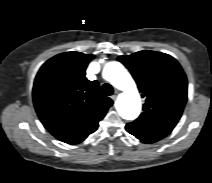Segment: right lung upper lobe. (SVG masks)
<instances>
[{
	"instance_id": "1",
	"label": "right lung upper lobe",
	"mask_w": 212,
	"mask_h": 183,
	"mask_svg": "<svg viewBox=\"0 0 212 183\" xmlns=\"http://www.w3.org/2000/svg\"><path fill=\"white\" fill-rule=\"evenodd\" d=\"M94 58L80 52L58 54L45 62L33 86V102L45 128L57 139L77 144L98 128L113 101L85 77Z\"/></svg>"
}]
</instances>
